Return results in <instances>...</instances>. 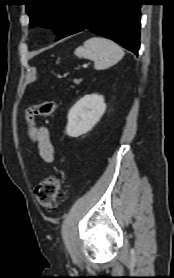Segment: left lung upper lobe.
<instances>
[{"mask_svg":"<svg viewBox=\"0 0 174 278\" xmlns=\"http://www.w3.org/2000/svg\"><path fill=\"white\" fill-rule=\"evenodd\" d=\"M79 0H28L26 12L30 25L51 26L57 35L71 20Z\"/></svg>","mask_w":174,"mask_h":278,"instance_id":"left-lung-upper-lobe-1","label":"left lung upper lobe"}]
</instances>
